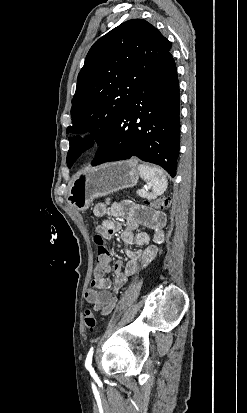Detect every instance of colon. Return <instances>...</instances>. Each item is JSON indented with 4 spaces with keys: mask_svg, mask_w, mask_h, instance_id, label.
<instances>
[{
    "mask_svg": "<svg viewBox=\"0 0 247 413\" xmlns=\"http://www.w3.org/2000/svg\"><path fill=\"white\" fill-rule=\"evenodd\" d=\"M143 201L148 204H154L158 206L160 210L168 209L171 206V200L168 197H159L155 201L144 199ZM93 242H96V245L99 246L97 250V261L93 264V271L98 273L101 270L106 271L109 269V259H110V250L106 244H103L102 236L100 233H93L91 236ZM100 267V268H99ZM84 323L85 327L89 330H94L96 327V316L95 314L86 309L84 311Z\"/></svg>",
    "mask_w": 247,
    "mask_h": 413,
    "instance_id": "1",
    "label": "colon"
}]
</instances>
